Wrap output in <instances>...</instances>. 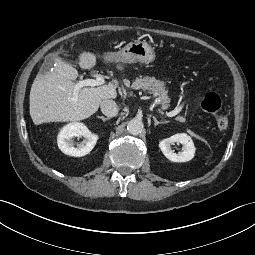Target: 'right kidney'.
<instances>
[{"label":"right kidney","mask_w":255,"mask_h":255,"mask_svg":"<svg viewBox=\"0 0 255 255\" xmlns=\"http://www.w3.org/2000/svg\"><path fill=\"white\" fill-rule=\"evenodd\" d=\"M83 137L84 140L77 146L74 147L72 138ZM98 136L91 133V131L82 123H73L64 126L57 138L59 149L70 156L81 157L85 156L94 148L96 145Z\"/></svg>","instance_id":"right-kidney-1"}]
</instances>
